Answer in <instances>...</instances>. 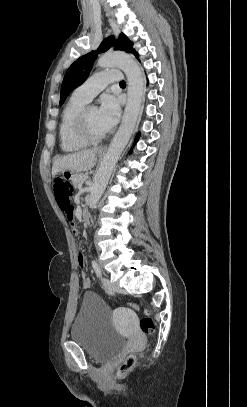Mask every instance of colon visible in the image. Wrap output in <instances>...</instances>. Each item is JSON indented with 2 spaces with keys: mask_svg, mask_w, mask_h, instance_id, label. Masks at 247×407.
<instances>
[{
  "mask_svg": "<svg viewBox=\"0 0 247 407\" xmlns=\"http://www.w3.org/2000/svg\"><path fill=\"white\" fill-rule=\"evenodd\" d=\"M52 188L59 208L63 212L68 210L72 205L70 200V196L73 191L71 183L63 178L57 177L53 180ZM129 306L133 309H137L139 304L137 302H130ZM140 328L145 334H152L155 331V322L150 316H146L140 321ZM136 362V355L128 356L117 370V375L123 376L128 373L134 368Z\"/></svg>",
  "mask_w": 247,
  "mask_h": 407,
  "instance_id": "colon-1",
  "label": "colon"
}]
</instances>
